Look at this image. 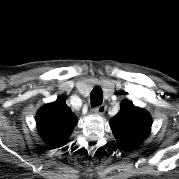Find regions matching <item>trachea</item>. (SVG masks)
Here are the masks:
<instances>
[{"label":"trachea","mask_w":179,"mask_h":179,"mask_svg":"<svg viewBox=\"0 0 179 179\" xmlns=\"http://www.w3.org/2000/svg\"><path fill=\"white\" fill-rule=\"evenodd\" d=\"M91 106L96 107L99 106L103 101V93L102 89L98 86L94 87L90 94Z\"/></svg>","instance_id":"1"}]
</instances>
